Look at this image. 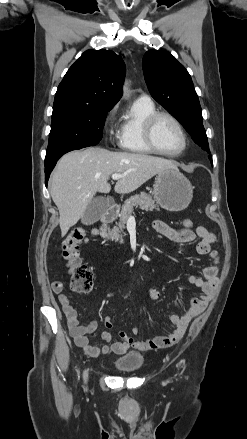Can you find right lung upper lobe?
<instances>
[{"instance_id":"right-lung-upper-lobe-1","label":"right lung upper lobe","mask_w":247,"mask_h":439,"mask_svg":"<svg viewBox=\"0 0 247 439\" xmlns=\"http://www.w3.org/2000/svg\"><path fill=\"white\" fill-rule=\"evenodd\" d=\"M122 58L110 50H87L70 67L55 94L53 107L112 108L121 97Z\"/></svg>"}]
</instances>
